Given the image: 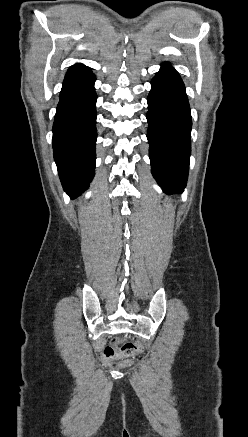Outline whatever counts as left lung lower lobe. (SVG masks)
I'll list each match as a JSON object with an SVG mask.
<instances>
[{
	"mask_svg": "<svg viewBox=\"0 0 248 437\" xmlns=\"http://www.w3.org/2000/svg\"><path fill=\"white\" fill-rule=\"evenodd\" d=\"M147 102L152 174L166 194L182 193L189 170L192 121L184 83L169 63H163L152 79Z\"/></svg>",
	"mask_w": 248,
	"mask_h": 437,
	"instance_id": "obj_1",
	"label": "left lung lower lobe"
}]
</instances>
